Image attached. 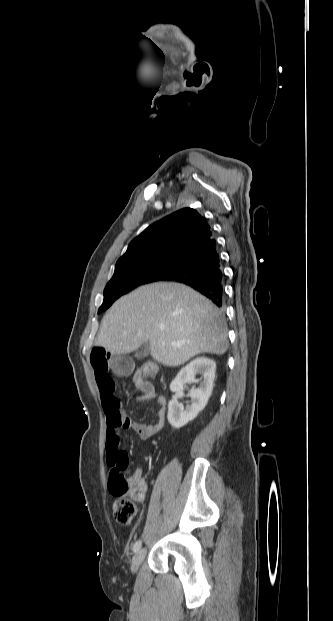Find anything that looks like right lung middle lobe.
I'll return each mask as SVG.
<instances>
[{"label": "right lung middle lobe", "mask_w": 333, "mask_h": 621, "mask_svg": "<svg viewBox=\"0 0 333 621\" xmlns=\"http://www.w3.org/2000/svg\"><path fill=\"white\" fill-rule=\"evenodd\" d=\"M185 260L178 257H160L134 262L116 263L115 272L104 290V301L98 310L108 309L120 296L137 286L163 280Z\"/></svg>", "instance_id": "right-lung-middle-lobe-1"}]
</instances>
